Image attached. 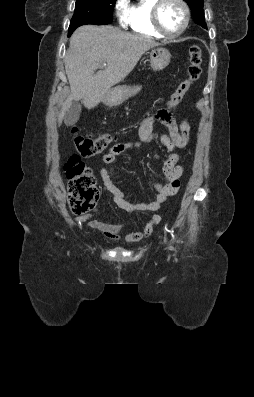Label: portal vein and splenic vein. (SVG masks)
Here are the masks:
<instances>
[{
  "label": "portal vein and splenic vein",
  "mask_w": 254,
  "mask_h": 397,
  "mask_svg": "<svg viewBox=\"0 0 254 397\" xmlns=\"http://www.w3.org/2000/svg\"><path fill=\"white\" fill-rule=\"evenodd\" d=\"M105 66H106V64L103 63V64L99 65L98 67H99V68H103V67H105Z\"/></svg>",
  "instance_id": "obj_1"
}]
</instances>
